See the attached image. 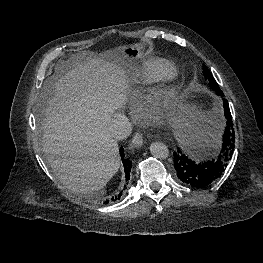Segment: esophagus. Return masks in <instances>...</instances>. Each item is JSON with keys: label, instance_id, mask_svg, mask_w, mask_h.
<instances>
[{"label": "esophagus", "instance_id": "esophagus-1", "mask_svg": "<svg viewBox=\"0 0 263 263\" xmlns=\"http://www.w3.org/2000/svg\"><path fill=\"white\" fill-rule=\"evenodd\" d=\"M132 143L136 148H140L143 144V139H142V134L140 132H137L133 139H132Z\"/></svg>", "mask_w": 263, "mask_h": 263}]
</instances>
